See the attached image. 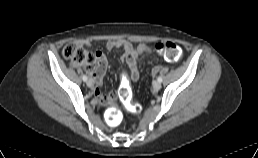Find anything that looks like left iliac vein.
Masks as SVG:
<instances>
[{
  "label": "left iliac vein",
  "instance_id": "1",
  "mask_svg": "<svg viewBox=\"0 0 258 158\" xmlns=\"http://www.w3.org/2000/svg\"><path fill=\"white\" fill-rule=\"evenodd\" d=\"M153 88L155 90H159L161 88V83L159 81H154L153 82Z\"/></svg>",
  "mask_w": 258,
  "mask_h": 158
}]
</instances>
